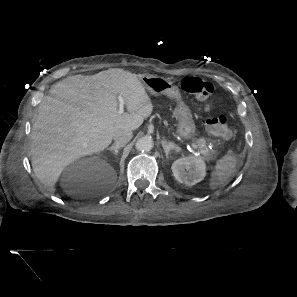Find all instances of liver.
Segmentation results:
<instances>
[{
  "label": "liver",
  "instance_id": "obj_1",
  "mask_svg": "<svg viewBox=\"0 0 297 297\" xmlns=\"http://www.w3.org/2000/svg\"><path fill=\"white\" fill-rule=\"evenodd\" d=\"M50 93L39 105L30 143L35 176L50 192L66 166L103 151L117 131L136 130L153 110L137 75L119 68L67 77ZM118 95L128 112L119 114Z\"/></svg>",
  "mask_w": 297,
  "mask_h": 297
}]
</instances>
